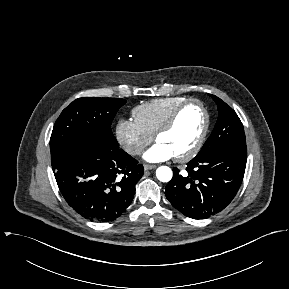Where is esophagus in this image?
<instances>
[{"label": "esophagus", "instance_id": "obj_1", "mask_svg": "<svg viewBox=\"0 0 289 289\" xmlns=\"http://www.w3.org/2000/svg\"><path fill=\"white\" fill-rule=\"evenodd\" d=\"M156 167H157L156 165L145 164L144 170H152V169H155Z\"/></svg>", "mask_w": 289, "mask_h": 289}]
</instances>
